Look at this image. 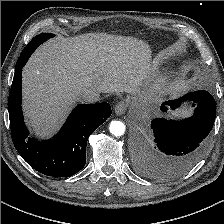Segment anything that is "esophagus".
<instances>
[{"label":"esophagus","mask_w":224,"mask_h":224,"mask_svg":"<svg viewBox=\"0 0 224 224\" xmlns=\"http://www.w3.org/2000/svg\"><path fill=\"white\" fill-rule=\"evenodd\" d=\"M126 109L127 103L124 100L119 101L115 106V113L117 115H122L123 113H125Z\"/></svg>","instance_id":"1"}]
</instances>
